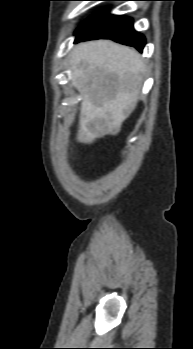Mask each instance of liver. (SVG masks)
Here are the masks:
<instances>
[{
	"mask_svg": "<svg viewBox=\"0 0 193 349\" xmlns=\"http://www.w3.org/2000/svg\"><path fill=\"white\" fill-rule=\"evenodd\" d=\"M72 70L82 95L77 140L91 144L116 135L140 95L146 70L140 54L110 40L88 41L73 48Z\"/></svg>",
	"mask_w": 193,
	"mask_h": 349,
	"instance_id": "6515ba94",
	"label": "liver"
}]
</instances>
